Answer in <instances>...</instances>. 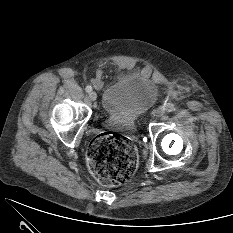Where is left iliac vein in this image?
Segmentation results:
<instances>
[{
  "mask_svg": "<svg viewBox=\"0 0 233 233\" xmlns=\"http://www.w3.org/2000/svg\"><path fill=\"white\" fill-rule=\"evenodd\" d=\"M165 114V108L164 107H159L157 110H156V116L157 117H161Z\"/></svg>",
  "mask_w": 233,
  "mask_h": 233,
  "instance_id": "left-iliac-vein-1",
  "label": "left iliac vein"
}]
</instances>
